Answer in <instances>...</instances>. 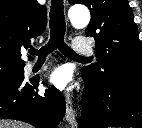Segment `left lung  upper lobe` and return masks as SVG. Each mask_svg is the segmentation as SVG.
<instances>
[{
	"label": "left lung upper lobe",
	"mask_w": 142,
	"mask_h": 128,
	"mask_svg": "<svg viewBox=\"0 0 142 128\" xmlns=\"http://www.w3.org/2000/svg\"><path fill=\"white\" fill-rule=\"evenodd\" d=\"M86 5L91 21L86 35L95 39L98 63L83 70L100 84L111 81L142 85V43L128 0H69Z\"/></svg>",
	"instance_id": "5c2ea615"
}]
</instances>
